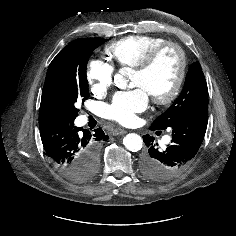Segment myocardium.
Listing matches in <instances>:
<instances>
[{
    "mask_svg": "<svg viewBox=\"0 0 236 236\" xmlns=\"http://www.w3.org/2000/svg\"><path fill=\"white\" fill-rule=\"evenodd\" d=\"M168 49H174L178 53L180 65L171 89L166 94L161 96L152 95V99L157 105H167L173 102L182 88L187 73V57L184 49L175 42L163 43L152 49L144 60L136 66V71L139 73L149 72L155 65L160 55Z\"/></svg>",
    "mask_w": 236,
    "mask_h": 236,
    "instance_id": "1",
    "label": "myocardium"
}]
</instances>
